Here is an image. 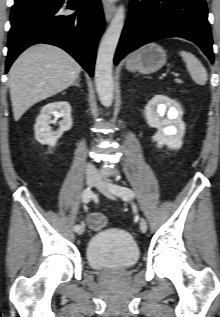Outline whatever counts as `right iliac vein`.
I'll list each match as a JSON object with an SVG mask.
<instances>
[{"label": "right iliac vein", "instance_id": "right-iliac-vein-1", "mask_svg": "<svg viewBox=\"0 0 220 317\" xmlns=\"http://www.w3.org/2000/svg\"><path fill=\"white\" fill-rule=\"evenodd\" d=\"M96 179H97V176L95 174H87L86 176V184L89 186V187H93L96 183ZM84 232V224L82 223L81 224V227L80 229L77 231V233L80 235Z\"/></svg>", "mask_w": 220, "mask_h": 317}]
</instances>
